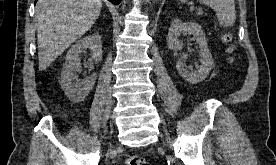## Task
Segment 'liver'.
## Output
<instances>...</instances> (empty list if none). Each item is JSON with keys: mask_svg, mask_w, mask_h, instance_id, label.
I'll list each match as a JSON object with an SVG mask.
<instances>
[{"mask_svg": "<svg viewBox=\"0 0 276 165\" xmlns=\"http://www.w3.org/2000/svg\"><path fill=\"white\" fill-rule=\"evenodd\" d=\"M101 8V0H38L35 17L40 71L93 26Z\"/></svg>", "mask_w": 276, "mask_h": 165, "instance_id": "obj_1", "label": "liver"}]
</instances>
